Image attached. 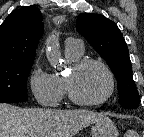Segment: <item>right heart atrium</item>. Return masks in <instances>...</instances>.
<instances>
[{"instance_id":"obj_1","label":"right heart atrium","mask_w":144,"mask_h":137,"mask_svg":"<svg viewBox=\"0 0 144 137\" xmlns=\"http://www.w3.org/2000/svg\"><path fill=\"white\" fill-rule=\"evenodd\" d=\"M27 82L32 95L40 105L54 107L61 101L62 95L56 77L42 65H34Z\"/></svg>"}]
</instances>
